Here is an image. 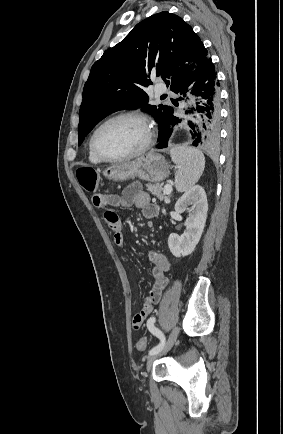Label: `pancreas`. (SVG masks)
Here are the masks:
<instances>
[{"label":"pancreas","mask_w":283,"mask_h":434,"mask_svg":"<svg viewBox=\"0 0 283 434\" xmlns=\"http://www.w3.org/2000/svg\"><path fill=\"white\" fill-rule=\"evenodd\" d=\"M146 189L152 195L158 197L161 200H163L164 198H166V195L162 193V191L164 189L163 185L160 184V183H156V184L148 183V184H146Z\"/></svg>","instance_id":"pancreas-1"}]
</instances>
